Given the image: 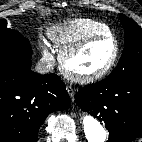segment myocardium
I'll list each match as a JSON object with an SVG mask.
<instances>
[{"label":"myocardium","instance_id":"1","mask_svg":"<svg viewBox=\"0 0 142 142\" xmlns=\"http://www.w3.org/2000/svg\"><path fill=\"white\" fill-rule=\"evenodd\" d=\"M100 40H111L114 43V53L110 61L101 69L92 72V73H79L74 71L69 67V61L84 51L89 45L100 41ZM120 54L119 42L113 34L107 35H94L89 38L82 40L71 48L63 51L60 55V67L62 71L71 79L81 82V83H90L96 80L103 78L107 75L115 66Z\"/></svg>","mask_w":142,"mask_h":142}]
</instances>
